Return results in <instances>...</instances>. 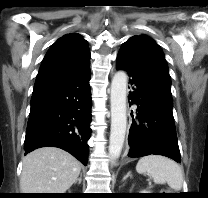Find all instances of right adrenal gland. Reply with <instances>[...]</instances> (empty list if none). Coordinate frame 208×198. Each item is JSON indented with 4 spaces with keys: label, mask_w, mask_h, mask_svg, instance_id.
Masks as SVG:
<instances>
[{
    "label": "right adrenal gland",
    "mask_w": 208,
    "mask_h": 198,
    "mask_svg": "<svg viewBox=\"0 0 208 198\" xmlns=\"http://www.w3.org/2000/svg\"><path fill=\"white\" fill-rule=\"evenodd\" d=\"M82 181V173H80V177L75 181V184L78 182L79 184H81Z\"/></svg>",
    "instance_id": "1"
}]
</instances>
